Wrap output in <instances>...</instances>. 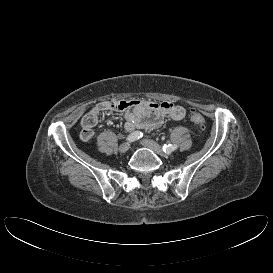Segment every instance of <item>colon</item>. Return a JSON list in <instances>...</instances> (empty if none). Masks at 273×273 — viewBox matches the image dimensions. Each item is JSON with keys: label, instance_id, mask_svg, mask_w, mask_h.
<instances>
[{"label": "colon", "instance_id": "obj_1", "mask_svg": "<svg viewBox=\"0 0 273 273\" xmlns=\"http://www.w3.org/2000/svg\"><path fill=\"white\" fill-rule=\"evenodd\" d=\"M190 119L198 128H200V129L205 128V119L200 113H198L196 111H191L190 112Z\"/></svg>", "mask_w": 273, "mask_h": 273}]
</instances>
